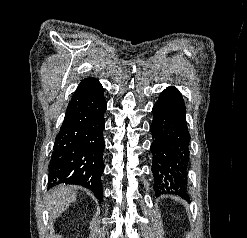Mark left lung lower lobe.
<instances>
[{"label": "left lung lower lobe", "instance_id": "1", "mask_svg": "<svg viewBox=\"0 0 247 238\" xmlns=\"http://www.w3.org/2000/svg\"><path fill=\"white\" fill-rule=\"evenodd\" d=\"M150 131L154 188L162 193L186 194L190 135L186 107L175 87L165 89L153 109Z\"/></svg>", "mask_w": 247, "mask_h": 238}]
</instances>
